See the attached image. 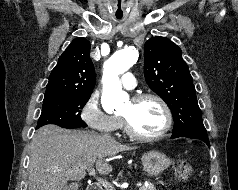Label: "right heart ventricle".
Instances as JSON below:
<instances>
[{"label":"right heart ventricle","instance_id":"right-heart-ventricle-1","mask_svg":"<svg viewBox=\"0 0 238 190\" xmlns=\"http://www.w3.org/2000/svg\"><path fill=\"white\" fill-rule=\"evenodd\" d=\"M118 119V118H117ZM122 126L121 120L118 119V128Z\"/></svg>","mask_w":238,"mask_h":190}]
</instances>
